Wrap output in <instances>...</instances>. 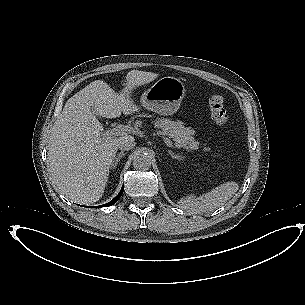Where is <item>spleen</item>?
<instances>
[{"mask_svg": "<svg viewBox=\"0 0 305 305\" xmlns=\"http://www.w3.org/2000/svg\"><path fill=\"white\" fill-rule=\"evenodd\" d=\"M235 182H227L219 185L209 192L196 197L194 194L186 196L180 200V206L192 214L210 213L218 207L224 205L230 197L232 186Z\"/></svg>", "mask_w": 305, "mask_h": 305, "instance_id": "obj_1", "label": "spleen"}]
</instances>
